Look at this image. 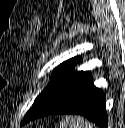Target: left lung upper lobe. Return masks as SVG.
I'll list each match as a JSON object with an SVG mask.
<instances>
[{"mask_svg": "<svg viewBox=\"0 0 125 128\" xmlns=\"http://www.w3.org/2000/svg\"><path fill=\"white\" fill-rule=\"evenodd\" d=\"M80 60L81 58L77 56L55 68L52 80L35 99L32 109L26 113L21 125L50 115L66 103L75 86L87 73L74 70Z\"/></svg>", "mask_w": 125, "mask_h": 128, "instance_id": "5c2ea615", "label": "left lung upper lobe"}]
</instances>
